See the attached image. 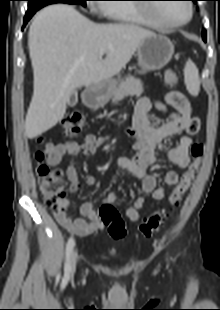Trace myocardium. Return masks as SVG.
<instances>
[{"label":"myocardium","mask_w":220,"mask_h":310,"mask_svg":"<svg viewBox=\"0 0 220 310\" xmlns=\"http://www.w3.org/2000/svg\"><path fill=\"white\" fill-rule=\"evenodd\" d=\"M187 6V9H188V16L182 20V21H178V22H170V21H167L165 19H162L160 18L159 16H157L156 14H154V11L153 10H150V9H142L147 15L151 16L152 18H154V20L162 27H166V28H178V27H181L185 24H187L191 18H192V15H193V7L191 4L187 3L185 4Z\"/></svg>","instance_id":"myocardium-1"}]
</instances>
